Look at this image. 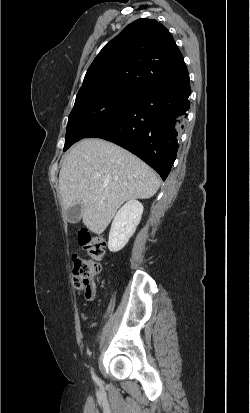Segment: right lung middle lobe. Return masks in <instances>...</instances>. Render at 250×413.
I'll return each mask as SVG.
<instances>
[{
  "mask_svg": "<svg viewBox=\"0 0 250 413\" xmlns=\"http://www.w3.org/2000/svg\"><path fill=\"white\" fill-rule=\"evenodd\" d=\"M140 92L125 85H100L79 90L68 119L64 151L114 118Z\"/></svg>",
  "mask_w": 250,
  "mask_h": 413,
  "instance_id": "right-lung-middle-lobe-1",
  "label": "right lung middle lobe"
}]
</instances>
